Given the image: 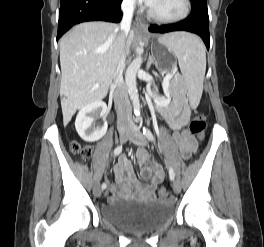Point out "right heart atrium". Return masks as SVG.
<instances>
[{"label": "right heart atrium", "mask_w": 264, "mask_h": 247, "mask_svg": "<svg viewBox=\"0 0 264 247\" xmlns=\"http://www.w3.org/2000/svg\"><path fill=\"white\" fill-rule=\"evenodd\" d=\"M123 3L127 7H133L135 5V0H123Z\"/></svg>", "instance_id": "obj_1"}]
</instances>
